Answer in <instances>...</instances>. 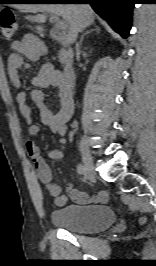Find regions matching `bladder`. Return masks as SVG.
I'll return each mask as SVG.
<instances>
[{
  "label": "bladder",
  "instance_id": "31cf9c89",
  "mask_svg": "<svg viewBox=\"0 0 156 266\" xmlns=\"http://www.w3.org/2000/svg\"><path fill=\"white\" fill-rule=\"evenodd\" d=\"M116 217L108 206L68 205L51 212L54 225L75 233H94L109 228Z\"/></svg>",
  "mask_w": 156,
  "mask_h": 266
}]
</instances>
